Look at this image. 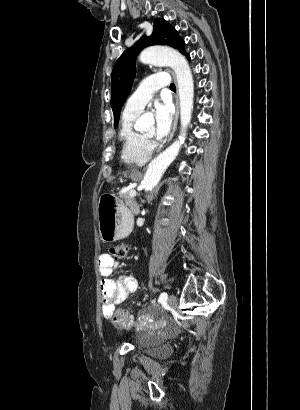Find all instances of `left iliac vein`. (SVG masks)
Masks as SVG:
<instances>
[{"label":"left iliac vein","mask_w":300,"mask_h":410,"mask_svg":"<svg viewBox=\"0 0 300 410\" xmlns=\"http://www.w3.org/2000/svg\"><path fill=\"white\" fill-rule=\"evenodd\" d=\"M167 303L170 307H176L177 305V298L175 295H170L167 299Z\"/></svg>","instance_id":"left-iliac-vein-1"}]
</instances>
